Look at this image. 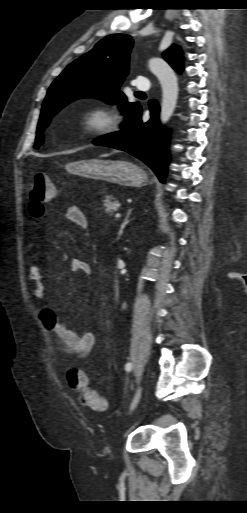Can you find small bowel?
Here are the masks:
<instances>
[{"label":"small bowel","mask_w":247,"mask_h":513,"mask_svg":"<svg viewBox=\"0 0 247 513\" xmlns=\"http://www.w3.org/2000/svg\"><path fill=\"white\" fill-rule=\"evenodd\" d=\"M65 217L81 230H87V219L80 208L76 206L69 207L66 210ZM71 270L73 272L81 271L85 275L91 274L90 265L78 259L72 261ZM28 277L31 283L30 293L37 299L45 301L47 285L44 270L38 265H31L28 270ZM38 317L44 327L58 337L63 352L68 356L82 359L86 358L93 350L96 341L95 334L91 330L78 333L59 319L55 308L45 305L38 312Z\"/></svg>","instance_id":"small-bowel-1"}]
</instances>
